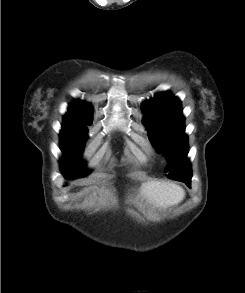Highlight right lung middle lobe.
<instances>
[{
	"label": "right lung middle lobe",
	"instance_id": "right-lung-middle-lobe-1",
	"mask_svg": "<svg viewBox=\"0 0 245 293\" xmlns=\"http://www.w3.org/2000/svg\"><path fill=\"white\" fill-rule=\"evenodd\" d=\"M87 128L63 127L61 132V150L66 161L61 163V169L66 179H76L89 174L84 170L85 162L80 159V154L87 139Z\"/></svg>",
	"mask_w": 245,
	"mask_h": 293
}]
</instances>
